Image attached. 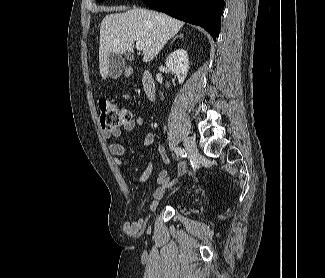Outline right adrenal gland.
Here are the masks:
<instances>
[{
	"label": "right adrenal gland",
	"mask_w": 325,
	"mask_h": 278,
	"mask_svg": "<svg viewBox=\"0 0 325 278\" xmlns=\"http://www.w3.org/2000/svg\"><path fill=\"white\" fill-rule=\"evenodd\" d=\"M177 37H183V35H178ZM177 37H174L173 39H172V41H174Z\"/></svg>",
	"instance_id": "obj_1"
}]
</instances>
